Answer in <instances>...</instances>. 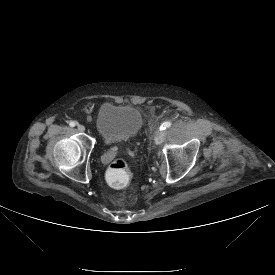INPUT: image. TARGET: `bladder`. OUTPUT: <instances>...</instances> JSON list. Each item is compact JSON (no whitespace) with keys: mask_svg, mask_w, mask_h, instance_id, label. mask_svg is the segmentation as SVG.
<instances>
[{"mask_svg":"<svg viewBox=\"0 0 275 275\" xmlns=\"http://www.w3.org/2000/svg\"><path fill=\"white\" fill-rule=\"evenodd\" d=\"M144 123L141 110L134 105L104 103L97 114L98 132L106 142H126L137 137Z\"/></svg>","mask_w":275,"mask_h":275,"instance_id":"bladder-1","label":"bladder"}]
</instances>
